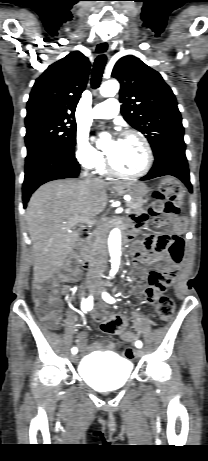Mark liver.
<instances>
[{"instance_id":"obj_1","label":"liver","mask_w":208,"mask_h":461,"mask_svg":"<svg viewBox=\"0 0 208 461\" xmlns=\"http://www.w3.org/2000/svg\"><path fill=\"white\" fill-rule=\"evenodd\" d=\"M109 185L98 180L67 179L48 182L34 192L26 220L33 244L35 282H43L63 266L80 235L75 224L104 210Z\"/></svg>"}]
</instances>
